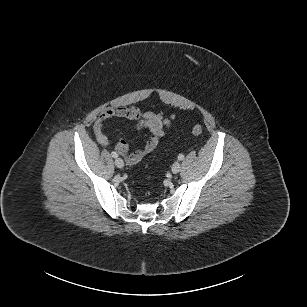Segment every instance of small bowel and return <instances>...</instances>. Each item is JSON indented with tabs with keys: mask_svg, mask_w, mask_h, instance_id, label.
I'll use <instances>...</instances> for the list:
<instances>
[{
	"mask_svg": "<svg viewBox=\"0 0 307 307\" xmlns=\"http://www.w3.org/2000/svg\"><path fill=\"white\" fill-rule=\"evenodd\" d=\"M113 117L133 120L135 121L136 129L148 128L150 131V136L145 146L141 149L131 152L123 140L116 145L117 151L124 156L126 162L130 165L137 164L155 150L160 140L164 137L165 130L171 126L172 121L176 118L174 114L169 117H164L154 112L143 113L137 106L108 107L100 113L94 124L95 138L102 145H108L110 143L103 128L106 122Z\"/></svg>",
	"mask_w": 307,
	"mask_h": 307,
	"instance_id": "obj_1",
	"label": "small bowel"
}]
</instances>
